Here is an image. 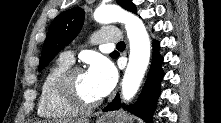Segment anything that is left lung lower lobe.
I'll list each match as a JSON object with an SVG mask.
<instances>
[{
	"instance_id": "obj_1",
	"label": "left lung lower lobe",
	"mask_w": 221,
	"mask_h": 123,
	"mask_svg": "<svg viewBox=\"0 0 221 123\" xmlns=\"http://www.w3.org/2000/svg\"><path fill=\"white\" fill-rule=\"evenodd\" d=\"M159 47L160 43L154 40L151 68L147 75L143 91L137 102L133 105L121 104L119 94H117L114 100L106 106L103 111L118 110L120 107H123L132 114L138 115L148 123L152 122V115L156 108L157 99L160 95V83L164 76V72L161 67L163 57L158 52ZM116 57H118V55Z\"/></svg>"
}]
</instances>
